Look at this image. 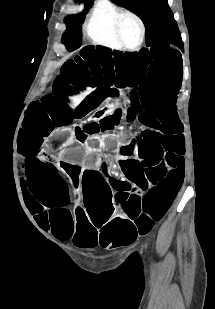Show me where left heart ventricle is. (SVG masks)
Instances as JSON below:
<instances>
[{
	"instance_id": "1",
	"label": "left heart ventricle",
	"mask_w": 215,
	"mask_h": 309,
	"mask_svg": "<svg viewBox=\"0 0 215 309\" xmlns=\"http://www.w3.org/2000/svg\"><path fill=\"white\" fill-rule=\"evenodd\" d=\"M119 39L124 40V46H132L138 41V29L136 24L128 19L122 20V25H119Z\"/></svg>"
}]
</instances>
